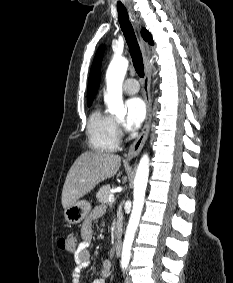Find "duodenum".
<instances>
[{
    "label": "duodenum",
    "mask_w": 233,
    "mask_h": 283,
    "mask_svg": "<svg viewBox=\"0 0 233 283\" xmlns=\"http://www.w3.org/2000/svg\"><path fill=\"white\" fill-rule=\"evenodd\" d=\"M121 250H122V242L119 238H117L115 242V253L117 256L121 254Z\"/></svg>",
    "instance_id": "obj_1"
}]
</instances>
